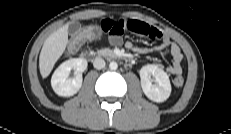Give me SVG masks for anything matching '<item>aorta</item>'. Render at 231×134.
I'll return each instance as SVG.
<instances>
[{
    "instance_id": "1",
    "label": "aorta",
    "mask_w": 231,
    "mask_h": 134,
    "mask_svg": "<svg viewBox=\"0 0 231 134\" xmlns=\"http://www.w3.org/2000/svg\"><path fill=\"white\" fill-rule=\"evenodd\" d=\"M109 68H110L111 70H116V69L118 68V64H117L116 62L112 61V62H110V64H109Z\"/></svg>"
}]
</instances>
